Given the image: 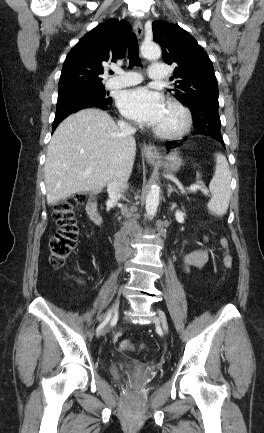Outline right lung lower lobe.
<instances>
[{"label": "right lung lower lobe", "mask_w": 264, "mask_h": 433, "mask_svg": "<svg viewBox=\"0 0 264 433\" xmlns=\"http://www.w3.org/2000/svg\"><path fill=\"white\" fill-rule=\"evenodd\" d=\"M111 103H112V98L107 100H101L95 97L78 98L75 101L67 102L66 104L62 105L65 106V110L63 111V113L57 114L55 116L52 132H54V130L60 124V122L71 113L89 107H96L103 110H108Z\"/></svg>", "instance_id": "right-lung-lower-lobe-1"}]
</instances>
